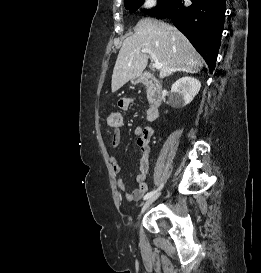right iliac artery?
Masks as SVG:
<instances>
[{
  "label": "right iliac artery",
  "instance_id": "right-iliac-artery-1",
  "mask_svg": "<svg viewBox=\"0 0 261 273\" xmlns=\"http://www.w3.org/2000/svg\"><path fill=\"white\" fill-rule=\"evenodd\" d=\"M163 187V184L160 185V187L157 190L148 192L145 196H144V200L149 199L150 197H152L154 194L157 193L158 190H160Z\"/></svg>",
  "mask_w": 261,
  "mask_h": 273
}]
</instances>
